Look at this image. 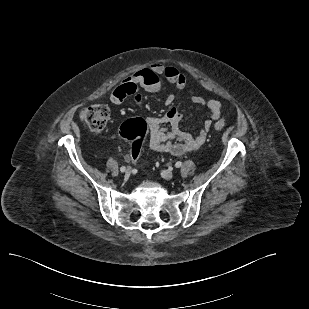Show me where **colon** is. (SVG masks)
Instances as JSON below:
<instances>
[{"label": "colon", "instance_id": "1", "mask_svg": "<svg viewBox=\"0 0 309 309\" xmlns=\"http://www.w3.org/2000/svg\"><path fill=\"white\" fill-rule=\"evenodd\" d=\"M81 121L92 131H102L109 119V109L105 105L94 104L86 106L80 113ZM224 121H217L215 130H222ZM120 135L130 142V158L137 161L147 135V124L143 119L135 118L126 121L120 128Z\"/></svg>", "mask_w": 309, "mask_h": 309}]
</instances>
